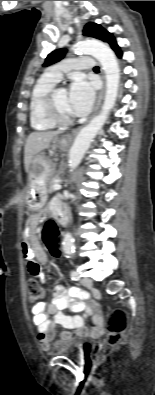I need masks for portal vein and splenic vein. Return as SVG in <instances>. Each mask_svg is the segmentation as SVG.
I'll use <instances>...</instances> for the list:
<instances>
[{
    "mask_svg": "<svg viewBox=\"0 0 155 395\" xmlns=\"http://www.w3.org/2000/svg\"><path fill=\"white\" fill-rule=\"evenodd\" d=\"M61 184H60V181H58V182H56L54 185H53V188H54V190H59V189H61Z\"/></svg>",
    "mask_w": 155,
    "mask_h": 395,
    "instance_id": "obj_1",
    "label": "portal vein and splenic vein"
}]
</instances>
